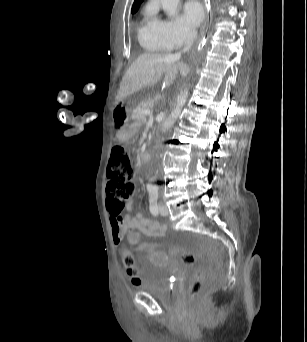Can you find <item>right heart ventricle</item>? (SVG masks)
<instances>
[{
    "instance_id": "obj_1",
    "label": "right heart ventricle",
    "mask_w": 307,
    "mask_h": 342,
    "mask_svg": "<svg viewBox=\"0 0 307 342\" xmlns=\"http://www.w3.org/2000/svg\"><path fill=\"white\" fill-rule=\"evenodd\" d=\"M138 42L146 54H156L167 49V45L154 35L140 33L138 35Z\"/></svg>"
}]
</instances>
